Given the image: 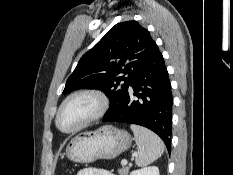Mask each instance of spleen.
Here are the masks:
<instances>
[{
	"label": "spleen",
	"mask_w": 233,
	"mask_h": 175,
	"mask_svg": "<svg viewBox=\"0 0 233 175\" xmlns=\"http://www.w3.org/2000/svg\"><path fill=\"white\" fill-rule=\"evenodd\" d=\"M130 128L134 133L135 142L138 147L135 155L137 166H146L163 154L164 144L159 136L142 126L132 124Z\"/></svg>",
	"instance_id": "3e777b00"
}]
</instances>
